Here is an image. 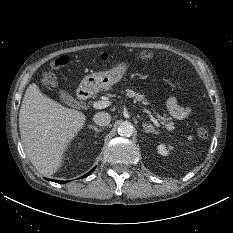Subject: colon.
<instances>
[{
	"label": "colon",
	"mask_w": 233,
	"mask_h": 233,
	"mask_svg": "<svg viewBox=\"0 0 233 233\" xmlns=\"http://www.w3.org/2000/svg\"><path fill=\"white\" fill-rule=\"evenodd\" d=\"M136 57L141 60H151L154 57V53L148 50L141 51L136 54ZM109 56L106 53L100 55V59L103 61L108 60ZM70 61L67 55H61L52 61L53 68H61L66 66ZM43 81L48 87H53L55 85V77L51 71H47L43 74ZM197 135L200 139L205 140L208 138V130L204 126H199L197 128Z\"/></svg>",
	"instance_id": "obj_1"
}]
</instances>
